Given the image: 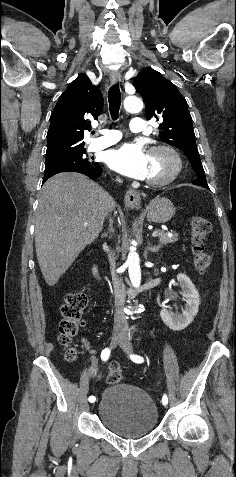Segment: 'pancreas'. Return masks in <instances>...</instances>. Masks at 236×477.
Instances as JSON below:
<instances>
[{
	"mask_svg": "<svg viewBox=\"0 0 236 477\" xmlns=\"http://www.w3.org/2000/svg\"><path fill=\"white\" fill-rule=\"evenodd\" d=\"M158 238L161 244L167 245L170 243H175L178 241V234L173 233L172 236H169L167 233L163 231H158Z\"/></svg>",
	"mask_w": 236,
	"mask_h": 477,
	"instance_id": "pancreas-1",
	"label": "pancreas"
}]
</instances>
